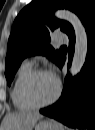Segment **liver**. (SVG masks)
I'll use <instances>...</instances> for the list:
<instances>
[{"mask_svg": "<svg viewBox=\"0 0 95 130\" xmlns=\"http://www.w3.org/2000/svg\"><path fill=\"white\" fill-rule=\"evenodd\" d=\"M41 118L37 112L9 113L4 117L3 130H32Z\"/></svg>", "mask_w": 95, "mask_h": 130, "instance_id": "6515ba94", "label": "liver"}]
</instances>
